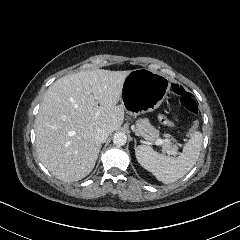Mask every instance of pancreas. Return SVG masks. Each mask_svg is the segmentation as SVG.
Masks as SVG:
<instances>
[{"instance_id":"cf45deb5","label":"pancreas","mask_w":240,"mask_h":240,"mask_svg":"<svg viewBox=\"0 0 240 240\" xmlns=\"http://www.w3.org/2000/svg\"><path fill=\"white\" fill-rule=\"evenodd\" d=\"M135 134L137 136H142L144 139L153 141L159 136V130L152 126L148 118L138 119L136 121ZM172 141H176L172 139ZM165 150L170 152L177 151V145H173L172 142L165 144Z\"/></svg>"}]
</instances>
